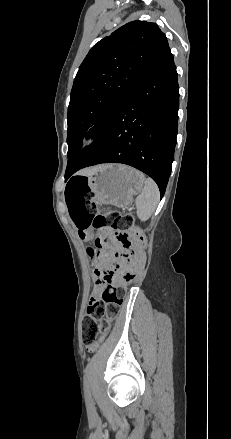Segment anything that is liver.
I'll use <instances>...</instances> for the list:
<instances>
[{
  "label": "liver",
  "instance_id": "obj_1",
  "mask_svg": "<svg viewBox=\"0 0 231 439\" xmlns=\"http://www.w3.org/2000/svg\"><path fill=\"white\" fill-rule=\"evenodd\" d=\"M100 167L101 166H96V167L84 169V170L80 171V174H82V175H90L93 172H95L97 169H99Z\"/></svg>",
  "mask_w": 231,
  "mask_h": 439
}]
</instances>
